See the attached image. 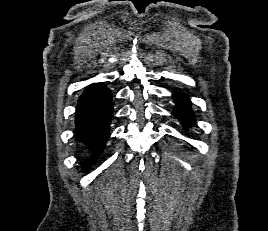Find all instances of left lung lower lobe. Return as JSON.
Returning <instances> with one entry per match:
<instances>
[{"label": "left lung lower lobe", "instance_id": "0a47b994", "mask_svg": "<svg viewBox=\"0 0 268 231\" xmlns=\"http://www.w3.org/2000/svg\"><path fill=\"white\" fill-rule=\"evenodd\" d=\"M173 98L176 101V107L173 114L182 122L186 128L195 124L196 118L190 107L189 98L183 93H175Z\"/></svg>", "mask_w": 268, "mask_h": 231}]
</instances>
